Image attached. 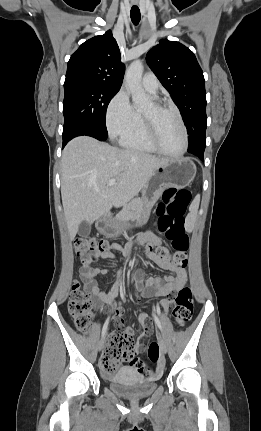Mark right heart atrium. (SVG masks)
Returning a JSON list of instances; mask_svg holds the SVG:
<instances>
[{
    "mask_svg": "<svg viewBox=\"0 0 261 431\" xmlns=\"http://www.w3.org/2000/svg\"><path fill=\"white\" fill-rule=\"evenodd\" d=\"M136 111L126 90H119L106 109V126L112 138L121 137L134 124Z\"/></svg>",
    "mask_w": 261,
    "mask_h": 431,
    "instance_id": "obj_1",
    "label": "right heart atrium"
}]
</instances>
